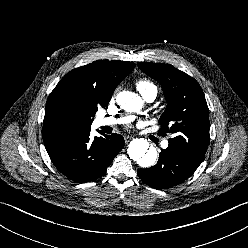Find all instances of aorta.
<instances>
[{"label":"aorta","instance_id":"1","mask_svg":"<svg viewBox=\"0 0 248 248\" xmlns=\"http://www.w3.org/2000/svg\"><path fill=\"white\" fill-rule=\"evenodd\" d=\"M117 104L127 112H138L143 105L141 97L133 92L122 91L116 97ZM128 155L137 161L141 167L154 165L157 158L155 148H149V142L144 138L133 139L128 145Z\"/></svg>","mask_w":248,"mask_h":248}]
</instances>
